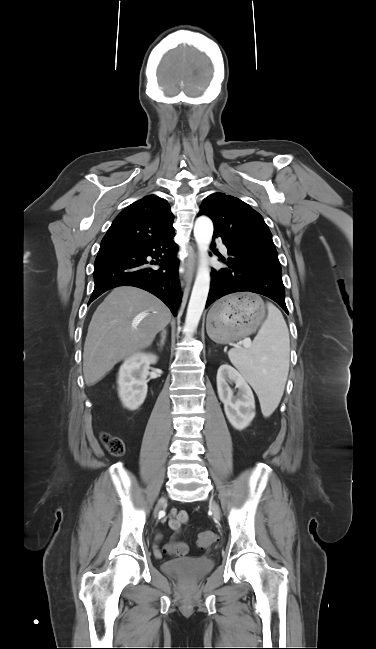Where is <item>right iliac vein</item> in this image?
<instances>
[{"mask_svg": "<svg viewBox=\"0 0 376 649\" xmlns=\"http://www.w3.org/2000/svg\"><path fill=\"white\" fill-rule=\"evenodd\" d=\"M165 501H166V500H165V498H164V499H162V500L159 502V504H158V506H157V510L160 509V507L163 505V503H165Z\"/></svg>", "mask_w": 376, "mask_h": 649, "instance_id": "1", "label": "right iliac vein"}]
</instances>
